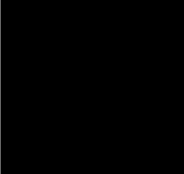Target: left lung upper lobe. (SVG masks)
Listing matches in <instances>:
<instances>
[{
    "label": "left lung upper lobe",
    "instance_id": "5c2ea615",
    "mask_svg": "<svg viewBox=\"0 0 184 174\" xmlns=\"http://www.w3.org/2000/svg\"><path fill=\"white\" fill-rule=\"evenodd\" d=\"M112 79L119 97L127 102L126 123L165 133L174 98L169 83L135 50L117 53Z\"/></svg>",
    "mask_w": 184,
    "mask_h": 174
}]
</instances>
